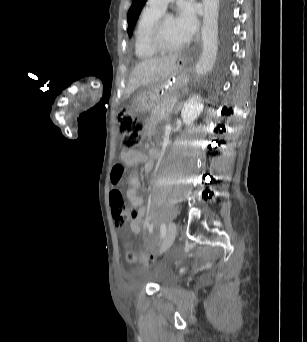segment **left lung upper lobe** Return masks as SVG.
Wrapping results in <instances>:
<instances>
[{"label":"left lung upper lobe","mask_w":307,"mask_h":342,"mask_svg":"<svg viewBox=\"0 0 307 342\" xmlns=\"http://www.w3.org/2000/svg\"><path fill=\"white\" fill-rule=\"evenodd\" d=\"M146 0H132V5L128 11L127 20H128V34L131 37L132 31L135 27L136 21L139 17V14L145 4Z\"/></svg>","instance_id":"1"}]
</instances>
